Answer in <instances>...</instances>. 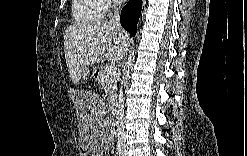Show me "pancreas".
<instances>
[{
  "label": "pancreas",
  "mask_w": 247,
  "mask_h": 156,
  "mask_svg": "<svg viewBox=\"0 0 247 156\" xmlns=\"http://www.w3.org/2000/svg\"><path fill=\"white\" fill-rule=\"evenodd\" d=\"M105 69L106 67L99 69L97 81L103 87L106 95L111 98L117 89V79L115 75H107Z\"/></svg>",
  "instance_id": "1"
}]
</instances>
